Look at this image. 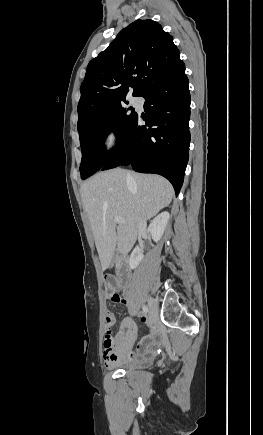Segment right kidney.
<instances>
[{
  "mask_svg": "<svg viewBox=\"0 0 263 435\" xmlns=\"http://www.w3.org/2000/svg\"><path fill=\"white\" fill-rule=\"evenodd\" d=\"M170 219V214L169 212H162L161 214H159L158 216H156L152 222L150 223L149 227H148V231L152 236V239L155 242H158L161 237L163 236V233L165 231V228L168 224V221ZM143 251L142 249L137 246L133 252L131 253V256L129 258V266L130 269H135L139 263L142 261L143 259Z\"/></svg>",
  "mask_w": 263,
  "mask_h": 435,
  "instance_id": "ca27d5eb",
  "label": "right kidney"
}]
</instances>
